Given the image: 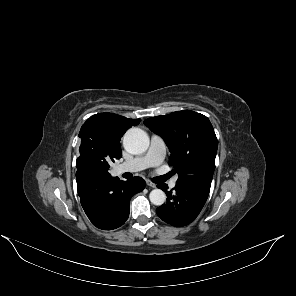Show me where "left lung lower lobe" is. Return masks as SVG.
<instances>
[{
  "label": "left lung lower lobe",
  "mask_w": 296,
  "mask_h": 296,
  "mask_svg": "<svg viewBox=\"0 0 296 296\" xmlns=\"http://www.w3.org/2000/svg\"><path fill=\"white\" fill-rule=\"evenodd\" d=\"M158 187L165 191L167 202L156 209L157 215L172 226H185L191 223L202 210L209 195L207 185H176L174 191H167L166 184Z\"/></svg>",
  "instance_id": "left-lung-lower-lobe-1"
}]
</instances>
